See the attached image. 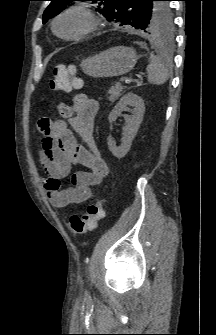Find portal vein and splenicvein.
Listing matches in <instances>:
<instances>
[{"instance_id":"portal-vein-and-splenic-vein-1","label":"portal vein and splenic vein","mask_w":216,"mask_h":335,"mask_svg":"<svg viewBox=\"0 0 216 335\" xmlns=\"http://www.w3.org/2000/svg\"><path fill=\"white\" fill-rule=\"evenodd\" d=\"M121 81L123 83H130L131 82V80L129 78H127V77L123 78Z\"/></svg>"}]
</instances>
